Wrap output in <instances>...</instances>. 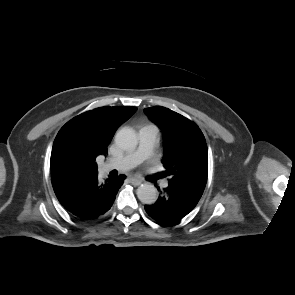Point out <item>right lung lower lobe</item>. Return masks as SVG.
<instances>
[{"label":"right lung lower lobe","instance_id":"obj_1","mask_svg":"<svg viewBox=\"0 0 295 295\" xmlns=\"http://www.w3.org/2000/svg\"><path fill=\"white\" fill-rule=\"evenodd\" d=\"M125 176L99 181L98 175L79 179L52 180L59 202L77 219L92 221L104 215L112 206Z\"/></svg>","mask_w":295,"mask_h":295}]
</instances>
